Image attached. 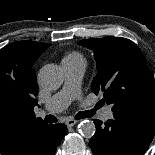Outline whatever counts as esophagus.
<instances>
[{
	"label": "esophagus",
	"mask_w": 155,
	"mask_h": 155,
	"mask_svg": "<svg viewBox=\"0 0 155 155\" xmlns=\"http://www.w3.org/2000/svg\"><path fill=\"white\" fill-rule=\"evenodd\" d=\"M76 123H77V121L74 120V119H72V118H69V119L66 120V125H67L68 127H72V126H74Z\"/></svg>",
	"instance_id": "34e87169"
}]
</instances>
